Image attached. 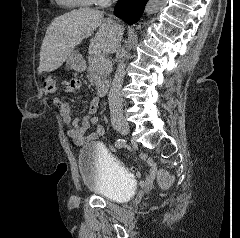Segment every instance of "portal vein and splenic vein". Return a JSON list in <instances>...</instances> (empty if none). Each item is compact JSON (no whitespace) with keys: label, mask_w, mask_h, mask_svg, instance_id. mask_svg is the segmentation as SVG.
Wrapping results in <instances>:
<instances>
[{"label":"portal vein and splenic vein","mask_w":240,"mask_h":238,"mask_svg":"<svg viewBox=\"0 0 240 238\" xmlns=\"http://www.w3.org/2000/svg\"><path fill=\"white\" fill-rule=\"evenodd\" d=\"M92 53H95L96 54V56L98 55L96 52H92ZM110 61H108V60H105V59H100V64L102 65V66H107V65H110Z\"/></svg>","instance_id":"18ae733b"}]
</instances>
